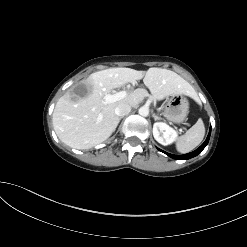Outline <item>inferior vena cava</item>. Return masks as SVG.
<instances>
[{"instance_id": "obj_1", "label": "inferior vena cava", "mask_w": 247, "mask_h": 247, "mask_svg": "<svg viewBox=\"0 0 247 247\" xmlns=\"http://www.w3.org/2000/svg\"><path fill=\"white\" fill-rule=\"evenodd\" d=\"M130 111H131V106L128 103H120L115 108V114L120 117L128 115Z\"/></svg>"}]
</instances>
